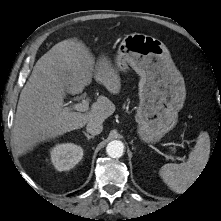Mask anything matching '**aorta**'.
<instances>
[{"label": "aorta", "mask_w": 221, "mask_h": 221, "mask_svg": "<svg viewBox=\"0 0 221 221\" xmlns=\"http://www.w3.org/2000/svg\"><path fill=\"white\" fill-rule=\"evenodd\" d=\"M106 152L112 158H119L123 155L124 144L118 140L111 141L106 147Z\"/></svg>", "instance_id": "1"}]
</instances>
